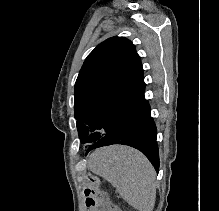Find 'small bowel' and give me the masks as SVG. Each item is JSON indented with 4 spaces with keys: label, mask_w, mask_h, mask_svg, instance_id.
Masks as SVG:
<instances>
[{
    "label": "small bowel",
    "mask_w": 219,
    "mask_h": 211,
    "mask_svg": "<svg viewBox=\"0 0 219 211\" xmlns=\"http://www.w3.org/2000/svg\"><path fill=\"white\" fill-rule=\"evenodd\" d=\"M96 211H119V210L112 205L107 194L102 193L100 205Z\"/></svg>",
    "instance_id": "1"
}]
</instances>
